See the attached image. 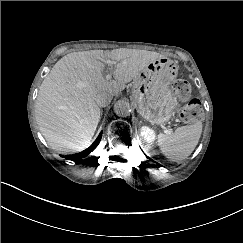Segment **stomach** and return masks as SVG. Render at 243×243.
Returning a JSON list of instances; mask_svg holds the SVG:
<instances>
[{"label": "stomach", "instance_id": "0dacf381", "mask_svg": "<svg viewBox=\"0 0 243 243\" xmlns=\"http://www.w3.org/2000/svg\"><path fill=\"white\" fill-rule=\"evenodd\" d=\"M177 72L174 62L160 57L134 77V104L151 124H164L174 116L177 100L171 92L170 83Z\"/></svg>", "mask_w": 243, "mask_h": 243}]
</instances>
